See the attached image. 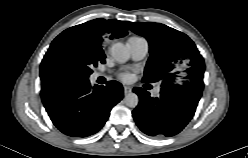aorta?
<instances>
[{"label":"aorta","instance_id":"762f6f07","mask_svg":"<svg viewBox=\"0 0 248 158\" xmlns=\"http://www.w3.org/2000/svg\"><path fill=\"white\" fill-rule=\"evenodd\" d=\"M112 57L120 63L126 62L130 57L129 49L122 43L117 42L111 47ZM139 103L138 95L135 93H129L125 96V104L128 107L135 108Z\"/></svg>","mask_w":248,"mask_h":158}]
</instances>
